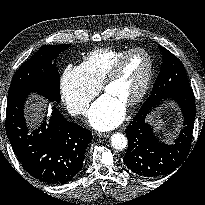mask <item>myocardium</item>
I'll return each instance as SVG.
<instances>
[{
    "label": "myocardium",
    "mask_w": 205,
    "mask_h": 205,
    "mask_svg": "<svg viewBox=\"0 0 205 205\" xmlns=\"http://www.w3.org/2000/svg\"><path fill=\"white\" fill-rule=\"evenodd\" d=\"M136 53H142V54L147 56V58L149 60V67H148L146 77L143 81V84H142L139 92L136 94L135 97H133L131 100H129L128 102L125 103V106H127V107L135 106L138 103H140L143 100V98L145 97V95L147 94L148 89L150 87V84H151V81L153 78V74H154V58L147 50H145L143 48H134V49H131V50L127 51L126 53H124L113 64L110 71L108 72V74L105 76V78L102 80V82L100 84V89L102 91H105L107 89V87L118 78V76L121 73V70H122V67H123V64L125 63V61Z\"/></svg>",
    "instance_id": "1"
}]
</instances>
